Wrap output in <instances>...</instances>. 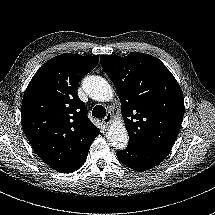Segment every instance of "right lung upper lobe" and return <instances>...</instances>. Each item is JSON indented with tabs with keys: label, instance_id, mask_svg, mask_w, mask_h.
Returning <instances> with one entry per match:
<instances>
[{
	"label": "right lung upper lobe",
	"instance_id": "obj_1",
	"mask_svg": "<svg viewBox=\"0 0 215 215\" xmlns=\"http://www.w3.org/2000/svg\"><path fill=\"white\" fill-rule=\"evenodd\" d=\"M98 61L99 56H56L36 72L24 93V133L39 157L58 172L70 173L83 164L99 130L77 96L81 78Z\"/></svg>",
	"mask_w": 215,
	"mask_h": 215
}]
</instances>
